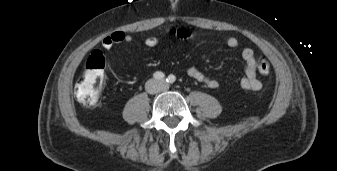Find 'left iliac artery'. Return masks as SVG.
I'll use <instances>...</instances> for the list:
<instances>
[{"label":"left iliac artery","instance_id":"44dca946","mask_svg":"<svg viewBox=\"0 0 337 171\" xmlns=\"http://www.w3.org/2000/svg\"><path fill=\"white\" fill-rule=\"evenodd\" d=\"M168 83L172 84L175 82L176 77L174 75H169L168 78L166 79Z\"/></svg>","mask_w":337,"mask_h":171}]
</instances>
